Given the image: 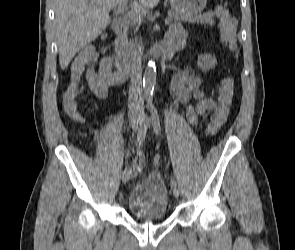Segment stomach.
<instances>
[{
    "instance_id": "obj_1",
    "label": "stomach",
    "mask_w": 295,
    "mask_h": 250,
    "mask_svg": "<svg viewBox=\"0 0 295 250\" xmlns=\"http://www.w3.org/2000/svg\"><path fill=\"white\" fill-rule=\"evenodd\" d=\"M207 0H170L173 11L181 16H194L206 7Z\"/></svg>"
}]
</instances>
